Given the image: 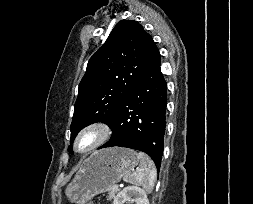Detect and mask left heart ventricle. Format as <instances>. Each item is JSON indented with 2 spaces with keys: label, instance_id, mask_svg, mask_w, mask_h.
I'll return each mask as SVG.
<instances>
[{
  "label": "left heart ventricle",
  "instance_id": "1",
  "mask_svg": "<svg viewBox=\"0 0 253 204\" xmlns=\"http://www.w3.org/2000/svg\"><path fill=\"white\" fill-rule=\"evenodd\" d=\"M94 139H95L94 134L85 135L79 142V148L85 149L88 145H90L93 142Z\"/></svg>",
  "mask_w": 253,
  "mask_h": 204
}]
</instances>
